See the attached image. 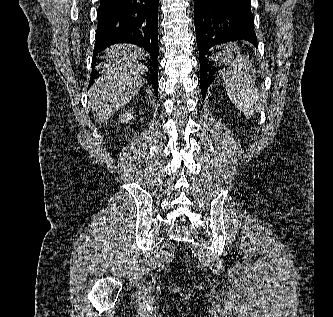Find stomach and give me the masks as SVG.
Returning a JSON list of instances; mask_svg holds the SVG:
<instances>
[{"label":"stomach","mask_w":333,"mask_h":317,"mask_svg":"<svg viewBox=\"0 0 333 317\" xmlns=\"http://www.w3.org/2000/svg\"><path fill=\"white\" fill-rule=\"evenodd\" d=\"M217 52L221 55H212V62H250V55H239L240 45H217ZM220 82H253V81H222V72Z\"/></svg>","instance_id":"1"}]
</instances>
